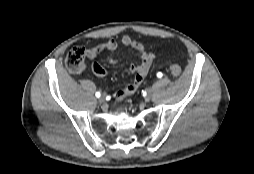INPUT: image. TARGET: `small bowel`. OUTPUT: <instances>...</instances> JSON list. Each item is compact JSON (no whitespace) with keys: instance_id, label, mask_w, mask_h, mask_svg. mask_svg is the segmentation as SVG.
<instances>
[{"instance_id":"c3829d8e","label":"small bowel","mask_w":254,"mask_h":174,"mask_svg":"<svg viewBox=\"0 0 254 174\" xmlns=\"http://www.w3.org/2000/svg\"><path fill=\"white\" fill-rule=\"evenodd\" d=\"M119 45L133 48L138 53L140 61L138 63H132L130 65L129 70L131 73L134 74V78L129 84L119 89L115 93L116 101H121L136 92V90L139 88L144 78L146 77L154 60L153 54L150 53L142 43L134 40L128 35L123 36L120 42H117L115 39H109L96 46L88 48L87 56L88 58L93 59L103 51H115L119 47ZM117 62L118 61L113 58L109 60L110 64H116ZM91 68L97 78L102 79L105 77L106 70L99 63L94 62Z\"/></svg>"}]
</instances>
